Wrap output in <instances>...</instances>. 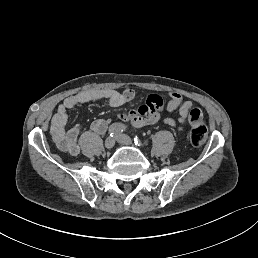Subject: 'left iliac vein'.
I'll use <instances>...</instances> for the list:
<instances>
[{
    "label": "left iliac vein",
    "instance_id": "4c4485c4",
    "mask_svg": "<svg viewBox=\"0 0 258 258\" xmlns=\"http://www.w3.org/2000/svg\"><path fill=\"white\" fill-rule=\"evenodd\" d=\"M116 139H117L118 142H120L124 146L125 145L128 146V145L132 144V139H130V137L127 136V135H123V134L121 135L120 134V135L117 136Z\"/></svg>",
    "mask_w": 258,
    "mask_h": 258
}]
</instances>
